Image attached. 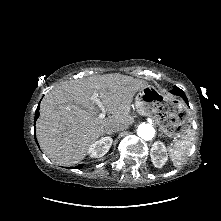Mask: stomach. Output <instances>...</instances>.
Segmentation results:
<instances>
[{"label": "stomach", "instance_id": "1", "mask_svg": "<svg viewBox=\"0 0 221 221\" xmlns=\"http://www.w3.org/2000/svg\"><path fill=\"white\" fill-rule=\"evenodd\" d=\"M138 113L152 117L169 138H184L191 130L192 118L187 107L179 100L160 92L151 85L135 95Z\"/></svg>", "mask_w": 221, "mask_h": 221}]
</instances>
